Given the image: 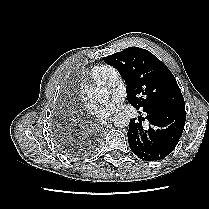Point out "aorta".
Listing matches in <instances>:
<instances>
[{
  "mask_svg": "<svg viewBox=\"0 0 209 209\" xmlns=\"http://www.w3.org/2000/svg\"><path fill=\"white\" fill-rule=\"evenodd\" d=\"M88 98L92 102H104L109 98V90L103 86L91 87L87 92ZM130 119L127 114L120 113L114 118V124L117 127L124 128L129 125Z\"/></svg>",
  "mask_w": 209,
  "mask_h": 209,
  "instance_id": "1",
  "label": "aorta"
}]
</instances>
